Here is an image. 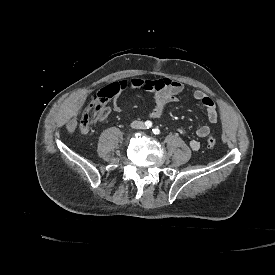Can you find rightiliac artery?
Wrapping results in <instances>:
<instances>
[{"mask_svg":"<svg viewBox=\"0 0 275 275\" xmlns=\"http://www.w3.org/2000/svg\"><path fill=\"white\" fill-rule=\"evenodd\" d=\"M145 127H146L147 129L151 128V127H152V122L149 121V120H147V121L145 122Z\"/></svg>","mask_w":275,"mask_h":275,"instance_id":"1","label":"right iliac artery"}]
</instances>
